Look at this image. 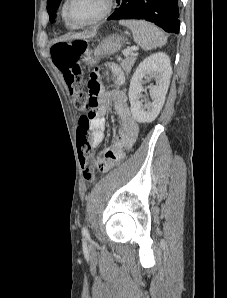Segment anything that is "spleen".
<instances>
[{"mask_svg": "<svg viewBox=\"0 0 227 298\" xmlns=\"http://www.w3.org/2000/svg\"><path fill=\"white\" fill-rule=\"evenodd\" d=\"M119 23L131 30L134 41L144 50L161 47L167 42L159 28L144 20H122Z\"/></svg>", "mask_w": 227, "mask_h": 298, "instance_id": "spleen-1", "label": "spleen"}]
</instances>
